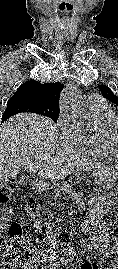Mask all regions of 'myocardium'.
Masks as SVG:
<instances>
[{
  "mask_svg": "<svg viewBox=\"0 0 118 269\" xmlns=\"http://www.w3.org/2000/svg\"><path fill=\"white\" fill-rule=\"evenodd\" d=\"M118 118L109 125V138L114 150L118 153Z\"/></svg>",
  "mask_w": 118,
  "mask_h": 269,
  "instance_id": "f54148a6",
  "label": "myocardium"
}]
</instances>
